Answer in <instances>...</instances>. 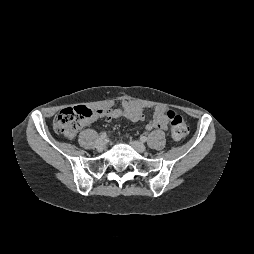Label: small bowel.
<instances>
[{
    "label": "small bowel",
    "mask_w": 254,
    "mask_h": 254,
    "mask_svg": "<svg viewBox=\"0 0 254 254\" xmlns=\"http://www.w3.org/2000/svg\"><path fill=\"white\" fill-rule=\"evenodd\" d=\"M166 107L163 105H156L152 109V116L150 119H147L144 114V108L131 101H123L119 107L110 108V109H101L99 110V116L106 121H111L117 118H126L132 122H145L146 129H167V120L165 117ZM90 122L85 123L84 125L89 124Z\"/></svg>",
    "instance_id": "1"
}]
</instances>
